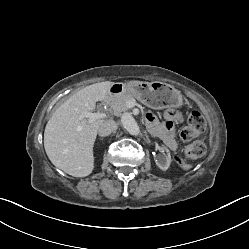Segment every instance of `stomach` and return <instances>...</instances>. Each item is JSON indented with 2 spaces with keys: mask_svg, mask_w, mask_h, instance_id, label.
<instances>
[{
  "mask_svg": "<svg viewBox=\"0 0 249 249\" xmlns=\"http://www.w3.org/2000/svg\"><path fill=\"white\" fill-rule=\"evenodd\" d=\"M109 91L113 95H131L148 107L159 110L168 107H180L183 103L180 91L159 81L115 83L109 88Z\"/></svg>",
  "mask_w": 249,
  "mask_h": 249,
  "instance_id": "0dacf381",
  "label": "stomach"
}]
</instances>
